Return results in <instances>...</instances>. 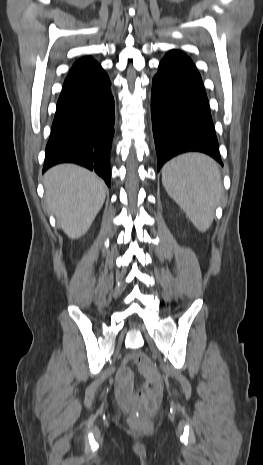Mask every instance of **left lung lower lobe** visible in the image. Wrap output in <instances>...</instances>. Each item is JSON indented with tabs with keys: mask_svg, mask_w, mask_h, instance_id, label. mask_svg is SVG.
I'll use <instances>...</instances> for the list:
<instances>
[{
	"mask_svg": "<svg viewBox=\"0 0 263 465\" xmlns=\"http://www.w3.org/2000/svg\"><path fill=\"white\" fill-rule=\"evenodd\" d=\"M151 116L158 171L188 151L206 153L223 165L202 79L191 59L179 51L162 59L153 78Z\"/></svg>",
	"mask_w": 263,
	"mask_h": 465,
	"instance_id": "left-lung-lower-lobe-1",
	"label": "left lung lower lobe"
}]
</instances>
